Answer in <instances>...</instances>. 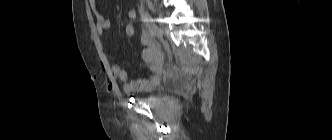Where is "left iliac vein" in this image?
<instances>
[{"instance_id": "obj_1", "label": "left iliac vein", "mask_w": 332, "mask_h": 140, "mask_svg": "<svg viewBox=\"0 0 332 140\" xmlns=\"http://www.w3.org/2000/svg\"><path fill=\"white\" fill-rule=\"evenodd\" d=\"M153 34L156 36V37H160L162 36V30L160 27H158L157 25L154 24L153 26Z\"/></svg>"}]
</instances>
